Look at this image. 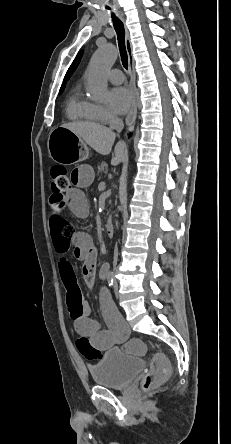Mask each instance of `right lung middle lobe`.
I'll return each instance as SVG.
<instances>
[{
    "mask_svg": "<svg viewBox=\"0 0 231 444\" xmlns=\"http://www.w3.org/2000/svg\"><path fill=\"white\" fill-rule=\"evenodd\" d=\"M63 89H64L63 87L60 89V93L63 91Z\"/></svg>",
    "mask_w": 231,
    "mask_h": 444,
    "instance_id": "1",
    "label": "right lung middle lobe"
}]
</instances>
